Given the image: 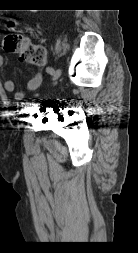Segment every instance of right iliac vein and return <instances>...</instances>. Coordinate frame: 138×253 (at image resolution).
<instances>
[{"mask_svg": "<svg viewBox=\"0 0 138 253\" xmlns=\"http://www.w3.org/2000/svg\"><path fill=\"white\" fill-rule=\"evenodd\" d=\"M60 76V71H56L53 75L52 78L53 79H57Z\"/></svg>", "mask_w": 138, "mask_h": 253, "instance_id": "63e3f726", "label": "right iliac vein"}]
</instances>
